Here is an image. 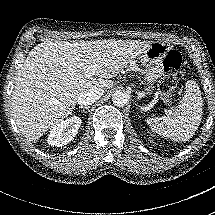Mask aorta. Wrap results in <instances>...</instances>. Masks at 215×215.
Listing matches in <instances>:
<instances>
[{
	"label": "aorta",
	"mask_w": 215,
	"mask_h": 215,
	"mask_svg": "<svg viewBox=\"0 0 215 215\" xmlns=\"http://www.w3.org/2000/svg\"><path fill=\"white\" fill-rule=\"evenodd\" d=\"M130 95L125 90H118L112 95V102L115 106L124 107L129 101Z\"/></svg>",
	"instance_id": "762f6f07"
}]
</instances>
